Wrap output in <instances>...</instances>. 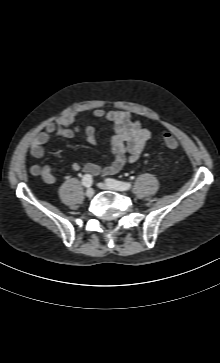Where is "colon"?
Here are the masks:
<instances>
[{"mask_svg": "<svg viewBox=\"0 0 220 363\" xmlns=\"http://www.w3.org/2000/svg\"><path fill=\"white\" fill-rule=\"evenodd\" d=\"M163 141L164 144L170 149H175L178 145L176 138L171 133H165L163 135Z\"/></svg>", "mask_w": 220, "mask_h": 363, "instance_id": "5ec220e1", "label": "colon"}]
</instances>
